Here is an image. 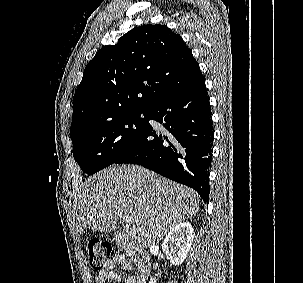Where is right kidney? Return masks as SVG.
I'll list each match as a JSON object with an SVG mask.
<instances>
[{"instance_id":"1","label":"right kidney","mask_w":303,"mask_h":283,"mask_svg":"<svg viewBox=\"0 0 303 283\" xmlns=\"http://www.w3.org/2000/svg\"><path fill=\"white\" fill-rule=\"evenodd\" d=\"M193 238L194 229L188 222H181L170 230L162 243V250L171 264L179 266L184 262ZM149 283H156V278H151Z\"/></svg>"}]
</instances>
